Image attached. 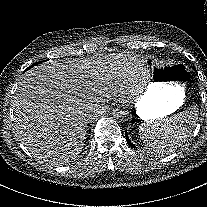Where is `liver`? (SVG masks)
Wrapping results in <instances>:
<instances>
[{
    "label": "liver",
    "instance_id": "6515ba94",
    "mask_svg": "<svg viewBox=\"0 0 207 207\" xmlns=\"http://www.w3.org/2000/svg\"><path fill=\"white\" fill-rule=\"evenodd\" d=\"M90 64L35 66L24 74L13 98L14 130L30 152L37 148L58 154L80 152L87 118L97 110L85 95V85L96 87Z\"/></svg>",
    "mask_w": 207,
    "mask_h": 207
}]
</instances>
